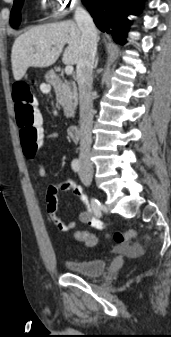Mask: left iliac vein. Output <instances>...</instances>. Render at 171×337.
I'll use <instances>...</instances> for the list:
<instances>
[{
	"label": "left iliac vein",
	"instance_id": "4c4485c4",
	"mask_svg": "<svg viewBox=\"0 0 171 337\" xmlns=\"http://www.w3.org/2000/svg\"><path fill=\"white\" fill-rule=\"evenodd\" d=\"M79 176H80V179L82 181V183L86 186L90 185L91 181H92V175L87 173V171L82 168L79 172Z\"/></svg>",
	"mask_w": 171,
	"mask_h": 337
}]
</instances>
